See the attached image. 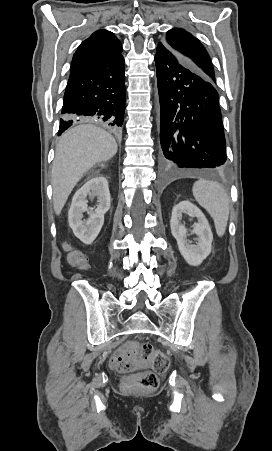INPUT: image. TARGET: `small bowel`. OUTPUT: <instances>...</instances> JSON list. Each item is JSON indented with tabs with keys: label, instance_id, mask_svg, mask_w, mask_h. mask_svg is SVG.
Instances as JSON below:
<instances>
[{
	"label": "small bowel",
	"instance_id": "obj_1",
	"mask_svg": "<svg viewBox=\"0 0 272 451\" xmlns=\"http://www.w3.org/2000/svg\"><path fill=\"white\" fill-rule=\"evenodd\" d=\"M138 345V341L135 338H132L125 343H123L119 348H136ZM114 356H118V349L116 350Z\"/></svg>",
	"mask_w": 272,
	"mask_h": 451
}]
</instances>
